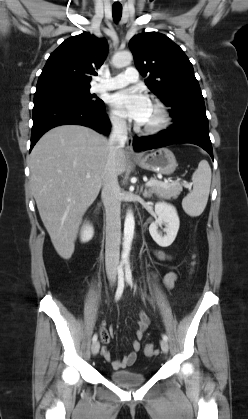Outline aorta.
I'll use <instances>...</instances> for the list:
<instances>
[{
	"instance_id": "aorta-1",
	"label": "aorta",
	"mask_w": 248,
	"mask_h": 419,
	"mask_svg": "<svg viewBox=\"0 0 248 419\" xmlns=\"http://www.w3.org/2000/svg\"><path fill=\"white\" fill-rule=\"evenodd\" d=\"M133 56L130 52L124 51L117 53L112 58V64L116 68H122L130 65ZM135 220L131 210H128L124 222V237H123V251L122 262L128 263L131 244L134 236Z\"/></svg>"
}]
</instances>
